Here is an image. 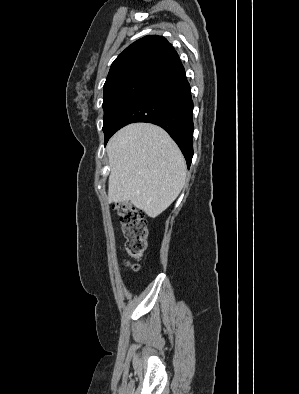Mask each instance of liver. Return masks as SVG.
<instances>
[{
    "label": "liver",
    "mask_w": 299,
    "mask_h": 394,
    "mask_svg": "<svg viewBox=\"0 0 299 394\" xmlns=\"http://www.w3.org/2000/svg\"><path fill=\"white\" fill-rule=\"evenodd\" d=\"M111 168L108 202H131L155 218L178 197L185 184V159L171 137L150 123H133L107 144Z\"/></svg>",
    "instance_id": "liver-1"
}]
</instances>
